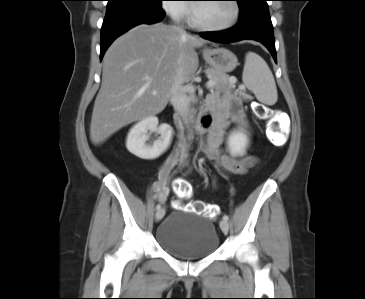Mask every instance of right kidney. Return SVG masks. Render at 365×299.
<instances>
[{
	"label": "right kidney",
	"mask_w": 365,
	"mask_h": 299,
	"mask_svg": "<svg viewBox=\"0 0 365 299\" xmlns=\"http://www.w3.org/2000/svg\"><path fill=\"white\" fill-rule=\"evenodd\" d=\"M148 131L160 134V137L153 143L147 144L149 140ZM172 128L168 124L158 127V118L149 116L136 123L128 133L126 148L133 155L146 160L158 158L169 147L172 139Z\"/></svg>",
	"instance_id": "right-kidney-1"
}]
</instances>
